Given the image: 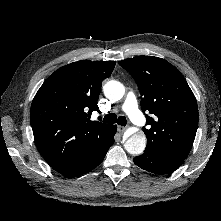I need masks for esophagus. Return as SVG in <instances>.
<instances>
[{
  "mask_svg": "<svg viewBox=\"0 0 221 221\" xmlns=\"http://www.w3.org/2000/svg\"><path fill=\"white\" fill-rule=\"evenodd\" d=\"M117 130H118L120 133H123V132L126 130V127H124V126H118V127H117Z\"/></svg>",
  "mask_w": 221,
  "mask_h": 221,
  "instance_id": "1",
  "label": "esophagus"
}]
</instances>
